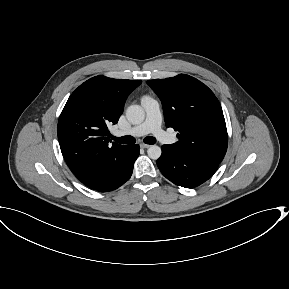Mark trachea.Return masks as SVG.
<instances>
[{
    "label": "trachea",
    "mask_w": 289,
    "mask_h": 289,
    "mask_svg": "<svg viewBox=\"0 0 289 289\" xmlns=\"http://www.w3.org/2000/svg\"><path fill=\"white\" fill-rule=\"evenodd\" d=\"M111 138L118 143L121 144H133L136 142L135 138L132 136H123V137H115V136H111ZM144 143L146 144H155L156 143V139L152 136H148L144 138Z\"/></svg>",
    "instance_id": "1"
}]
</instances>
